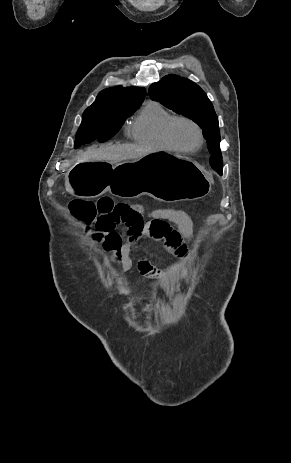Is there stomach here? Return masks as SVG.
I'll use <instances>...</instances> for the list:
<instances>
[{
	"label": "stomach",
	"instance_id": "0dacf381",
	"mask_svg": "<svg viewBox=\"0 0 291 463\" xmlns=\"http://www.w3.org/2000/svg\"><path fill=\"white\" fill-rule=\"evenodd\" d=\"M66 191L77 197L95 198L109 191L122 198L149 195L162 202L195 200L211 190L207 172L195 161L168 152H153L127 162L98 157L78 164L69 173Z\"/></svg>",
	"mask_w": 291,
	"mask_h": 463
}]
</instances>
